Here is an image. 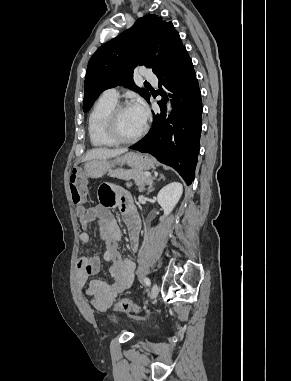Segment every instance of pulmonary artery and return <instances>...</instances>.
<instances>
[{
  "label": "pulmonary artery",
  "mask_w": 291,
  "mask_h": 381,
  "mask_svg": "<svg viewBox=\"0 0 291 381\" xmlns=\"http://www.w3.org/2000/svg\"><path fill=\"white\" fill-rule=\"evenodd\" d=\"M141 72H142L143 78L145 80L152 82V83H157L158 80L150 69H148L146 67H142ZM102 96L110 98V99L117 100L118 99V90L116 88L107 89L103 92Z\"/></svg>",
  "instance_id": "1"
}]
</instances>
